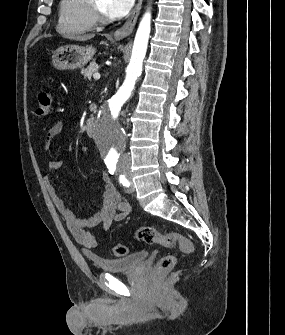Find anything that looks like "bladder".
I'll use <instances>...</instances> for the list:
<instances>
[{"instance_id":"31cf9c89","label":"bladder","mask_w":285,"mask_h":335,"mask_svg":"<svg viewBox=\"0 0 285 335\" xmlns=\"http://www.w3.org/2000/svg\"><path fill=\"white\" fill-rule=\"evenodd\" d=\"M148 257L146 249H141L123 257L93 258V265H97L106 273H133L140 265L145 264Z\"/></svg>"}]
</instances>
